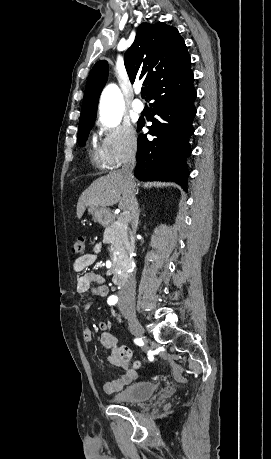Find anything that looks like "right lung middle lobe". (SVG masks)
Masks as SVG:
<instances>
[{"label": "right lung middle lobe", "instance_id": "obj_1", "mask_svg": "<svg viewBox=\"0 0 271 459\" xmlns=\"http://www.w3.org/2000/svg\"><path fill=\"white\" fill-rule=\"evenodd\" d=\"M95 119L84 120L79 122L78 144L84 146L90 129L93 127Z\"/></svg>", "mask_w": 271, "mask_h": 459}]
</instances>
